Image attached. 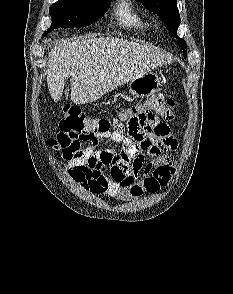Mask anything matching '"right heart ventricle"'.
<instances>
[{"mask_svg": "<svg viewBox=\"0 0 233 294\" xmlns=\"http://www.w3.org/2000/svg\"><path fill=\"white\" fill-rule=\"evenodd\" d=\"M115 17L120 26L145 33L150 28L147 17L139 12L129 0H119L115 8Z\"/></svg>", "mask_w": 233, "mask_h": 294, "instance_id": "right-heart-ventricle-1", "label": "right heart ventricle"}]
</instances>
